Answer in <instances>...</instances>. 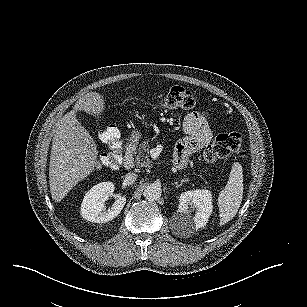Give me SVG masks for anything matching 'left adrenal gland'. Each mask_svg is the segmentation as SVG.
<instances>
[{
	"instance_id": "obj_1",
	"label": "left adrenal gland",
	"mask_w": 307,
	"mask_h": 307,
	"mask_svg": "<svg viewBox=\"0 0 307 307\" xmlns=\"http://www.w3.org/2000/svg\"><path fill=\"white\" fill-rule=\"evenodd\" d=\"M188 181H189V179H182L181 182H180V184H177V183H176V187L178 188V187L182 186V184H183L184 182H188Z\"/></svg>"
}]
</instances>
